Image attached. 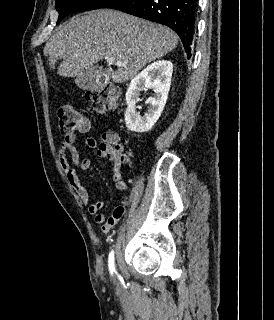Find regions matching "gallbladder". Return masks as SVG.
<instances>
[{
  "mask_svg": "<svg viewBox=\"0 0 274 320\" xmlns=\"http://www.w3.org/2000/svg\"><path fill=\"white\" fill-rule=\"evenodd\" d=\"M75 84L81 90H101L102 85H109L112 74L105 72V68H79Z\"/></svg>",
  "mask_w": 274,
  "mask_h": 320,
  "instance_id": "1",
  "label": "gallbladder"
}]
</instances>
